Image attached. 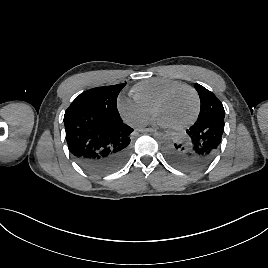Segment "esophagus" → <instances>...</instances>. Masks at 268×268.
<instances>
[{"mask_svg":"<svg viewBox=\"0 0 268 268\" xmlns=\"http://www.w3.org/2000/svg\"><path fill=\"white\" fill-rule=\"evenodd\" d=\"M138 131L139 132H141V133H153V132H156L154 129H152V128H139L138 129Z\"/></svg>","mask_w":268,"mask_h":268,"instance_id":"esophagus-1","label":"esophagus"}]
</instances>
